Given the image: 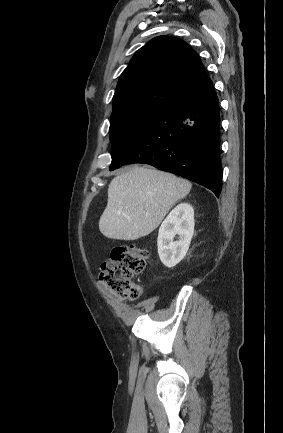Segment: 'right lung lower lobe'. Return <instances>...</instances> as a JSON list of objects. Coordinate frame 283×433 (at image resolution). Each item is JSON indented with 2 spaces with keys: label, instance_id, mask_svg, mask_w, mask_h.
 <instances>
[{
  "label": "right lung lower lobe",
  "instance_id": "obj_1",
  "mask_svg": "<svg viewBox=\"0 0 283 433\" xmlns=\"http://www.w3.org/2000/svg\"><path fill=\"white\" fill-rule=\"evenodd\" d=\"M145 163L212 190L222 189L220 114L213 85L182 99L151 119L112 158L110 170Z\"/></svg>",
  "mask_w": 283,
  "mask_h": 433
}]
</instances>
